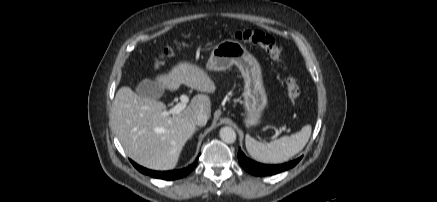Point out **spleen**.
<instances>
[{"label":"spleen","instance_id":"obj_1","mask_svg":"<svg viewBox=\"0 0 437 202\" xmlns=\"http://www.w3.org/2000/svg\"><path fill=\"white\" fill-rule=\"evenodd\" d=\"M311 125H305L291 136H283L270 143H260L246 135L245 144L249 155L263 163H282L299 153L311 136Z\"/></svg>","mask_w":437,"mask_h":202}]
</instances>
